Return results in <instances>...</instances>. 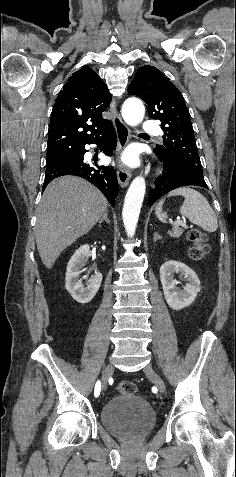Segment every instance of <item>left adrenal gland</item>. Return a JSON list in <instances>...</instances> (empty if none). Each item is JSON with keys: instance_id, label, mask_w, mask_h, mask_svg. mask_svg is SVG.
Masks as SVG:
<instances>
[{"instance_id": "left-adrenal-gland-1", "label": "left adrenal gland", "mask_w": 236, "mask_h": 477, "mask_svg": "<svg viewBox=\"0 0 236 477\" xmlns=\"http://www.w3.org/2000/svg\"><path fill=\"white\" fill-rule=\"evenodd\" d=\"M161 238L162 237L157 232L154 233V239H153L154 242H157V240H160Z\"/></svg>"}]
</instances>
